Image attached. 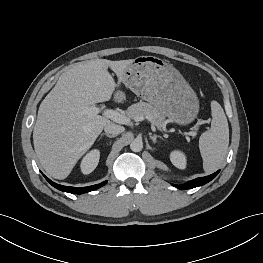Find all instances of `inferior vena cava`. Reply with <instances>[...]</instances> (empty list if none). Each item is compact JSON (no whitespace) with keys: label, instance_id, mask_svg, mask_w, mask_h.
Masks as SVG:
<instances>
[{"label":"inferior vena cava","instance_id":"602c4592","mask_svg":"<svg viewBox=\"0 0 263 263\" xmlns=\"http://www.w3.org/2000/svg\"><path fill=\"white\" fill-rule=\"evenodd\" d=\"M104 131L107 134H112L113 136H117L118 134L124 131V127L114 123H109L104 127Z\"/></svg>","mask_w":263,"mask_h":263}]
</instances>
